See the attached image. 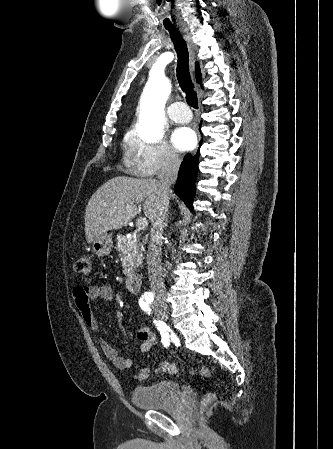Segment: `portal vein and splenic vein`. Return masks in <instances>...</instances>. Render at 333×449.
I'll return each instance as SVG.
<instances>
[{
	"mask_svg": "<svg viewBox=\"0 0 333 449\" xmlns=\"http://www.w3.org/2000/svg\"><path fill=\"white\" fill-rule=\"evenodd\" d=\"M136 226L139 230H143L148 226V221L146 218H141L137 221Z\"/></svg>",
	"mask_w": 333,
	"mask_h": 449,
	"instance_id": "obj_1",
	"label": "portal vein and splenic vein"
}]
</instances>
